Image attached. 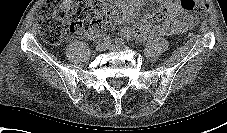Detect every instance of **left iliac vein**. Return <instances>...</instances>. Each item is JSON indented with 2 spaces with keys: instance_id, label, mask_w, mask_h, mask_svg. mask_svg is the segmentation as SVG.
Wrapping results in <instances>:
<instances>
[{
  "instance_id": "obj_1",
  "label": "left iliac vein",
  "mask_w": 227,
  "mask_h": 133,
  "mask_svg": "<svg viewBox=\"0 0 227 133\" xmlns=\"http://www.w3.org/2000/svg\"><path fill=\"white\" fill-rule=\"evenodd\" d=\"M109 49L114 50V51H122L126 49V46L124 44H112L108 46Z\"/></svg>"
}]
</instances>
